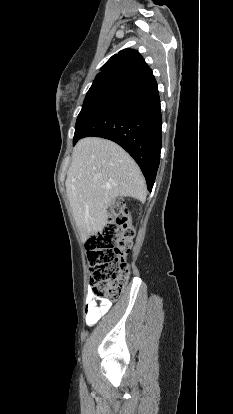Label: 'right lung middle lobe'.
I'll return each instance as SVG.
<instances>
[{
  "mask_svg": "<svg viewBox=\"0 0 233 414\" xmlns=\"http://www.w3.org/2000/svg\"><path fill=\"white\" fill-rule=\"evenodd\" d=\"M133 83V80L125 79L119 76H104L95 79L85 97L83 107L78 115L75 127L74 140L77 129L86 116V114L98 104L105 100L124 92ZM73 140V141H74Z\"/></svg>",
  "mask_w": 233,
  "mask_h": 414,
  "instance_id": "right-lung-middle-lobe-1",
  "label": "right lung middle lobe"
}]
</instances>
